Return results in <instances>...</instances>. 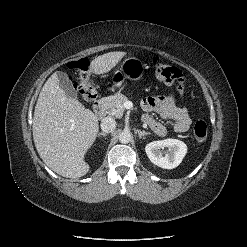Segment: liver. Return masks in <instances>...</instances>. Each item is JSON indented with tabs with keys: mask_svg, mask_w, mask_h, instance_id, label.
<instances>
[{
	"mask_svg": "<svg viewBox=\"0 0 247 247\" xmlns=\"http://www.w3.org/2000/svg\"><path fill=\"white\" fill-rule=\"evenodd\" d=\"M126 52H109L90 63L94 74L114 68ZM99 131L95 114L59 86L57 73L44 84L33 117V139L44 163L66 178L86 175L89 165L84 157Z\"/></svg>",
	"mask_w": 247,
	"mask_h": 247,
	"instance_id": "liver-1",
	"label": "liver"
}]
</instances>
